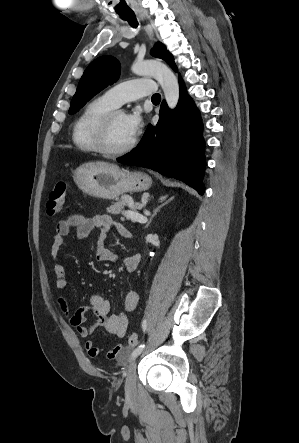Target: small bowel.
<instances>
[{"mask_svg":"<svg viewBox=\"0 0 299 443\" xmlns=\"http://www.w3.org/2000/svg\"><path fill=\"white\" fill-rule=\"evenodd\" d=\"M76 229L78 239L87 237L92 231L97 230L99 236L95 246V259L99 262H115L116 254L110 250L106 244L109 235L116 231L123 237H130V232L121 224L115 223L110 216L98 215L87 217L82 215H70L66 219L60 220L56 225V231L51 245V255L54 259V274L56 276V285L59 290L67 287V279L65 276V268L60 261V250L64 243L65 237L71 230ZM123 266L128 272H133L139 265L140 255L134 254L123 259ZM139 302V296L135 291H129L125 294L123 300V310L116 313H110V303L100 295H92L89 305L77 309L73 313H68V306L65 298L58 299L61 310L68 316L70 324L76 328L78 334L82 338H88L95 329L102 327L107 333L123 338L127 332L129 320L128 314L133 312ZM92 311L97 322L92 326H84L86 314ZM85 348L92 358L100 357L103 351L99 349L92 340L87 339ZM124 347L122 344L116 345L111 350L105 352L107 359H120Z\"/></svg>","mask_w":299,"mask_h":443,"instance_id":"c3829d8e","label":"small bowel"}]
</instances>
